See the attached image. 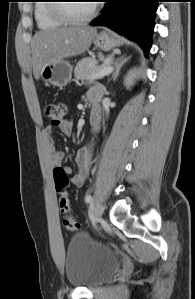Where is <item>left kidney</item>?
<instances>
[{
  "label": "left kidney",
  "mask_w": 195,
  "mask_h": 299,
  "mask_svg": "<svg viewBox=\"0 0 195 299\" xmlns=\"http://www.w3.org/2000/svg\"><path fill=\"white\" fill-rule=\"evenodd\" d=\"M132 74H133V72L130 71L125 79V85L127 87H129L131 85Z\"/></svg>",
  "instance_id": "1"
}]
</instances>
